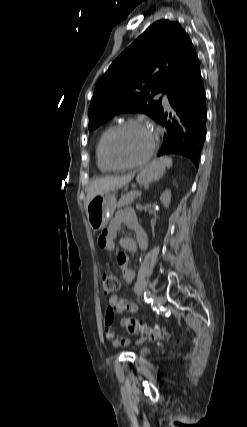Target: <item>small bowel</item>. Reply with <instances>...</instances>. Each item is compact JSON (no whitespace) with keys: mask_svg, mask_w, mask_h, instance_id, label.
<instances>
[{"mask_svg":"<svg viewBox=\"0 0 247 427\" xmlns=\"http://www.w3.org/2000/svg\"><path fill=\"white\" fill-rule=\"evenodd\" d=\"M132 230L135 239L129 237L120 238V246L127 252L133 253L139 246L142 250L148 248V238L145 231L138 225L137 218L133 210L123 209L116 213L110 221L107 229L99 237V245L107 251L115 250V242L118 239L122 226ZM117 263L122 270L123 279L126 283H131L134 279V271L128 266L129 257L125 253L117 255ZM137 311V306L133 302L123 299L118 295H113L109 299V304L104 316V333L106 339L114 347L127 346L129 339L118 335L114 330L115 315L124 312L134 313Z\"/></svg>","mask_w":247,"mask_h":427,"instance_id":"1","label":"small bowel"}]
</instances>
